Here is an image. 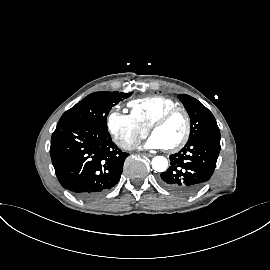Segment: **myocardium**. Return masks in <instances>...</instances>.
Masks as SVG:
<instances>
[{
  "label": "myocardium",
  "mask_w": 270,
  "mask_h": 270,
  "mask_svg": "<svg viewBox=\"0 0 270 270\" xmlns=\"http://www.w3.org/2000/svg\"><path fill=\"white\" fill-rule=\"evenodd\" d=\"M176 113H182L186 119V129L183 137L173 146L165 148V150L169 153H173L176 151H179L181 148L185 146V144L188 142L190 135H191V130H192V122H191V117L188 111L181 107V106H175L172 107L168 110H166L164 113H162L151 125L150 131L153 134L154 131L165 124L173 115Z\"/></svg>",
  "instance_id": "1"
}]
</instances>
